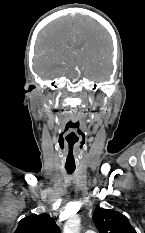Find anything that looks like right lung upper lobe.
<instances>
[{"instance_id": "obj_1", "label": "right lung upper lobe", "mask_w": 145, "mask_h": 233, "mask_svg": "<svg viewBox=\"0 0 145 233\" xmlns=\"http://www.w3.org/2000/svg\"><path fill=\"white\" fill-rule=\"evenodd\" d=\"M15 233H60V228L48 214H33L19 222Z\"/></svg>"}]
</instances>
